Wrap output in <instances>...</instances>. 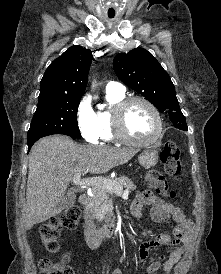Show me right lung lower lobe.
<instances>
[{
  "label": "right lung lower lobe",
  "mask_w": 221,
  "mask_h": 274,
  "mask_svg": "<svg viewBox=\"0 0 221 274\" xmlns=\"http://www.w3.org/2000/svg\"><path fill=\"white\" fill-rule=\"evenodd\" d=\"M37 141V140H36ZM36 141H33L31 143H28V151L30 150V148L32 147V145L36 142Z\"/></svg>",
  "instance_id": "right-lung-lower-lobe-1"
}]
</instances>
